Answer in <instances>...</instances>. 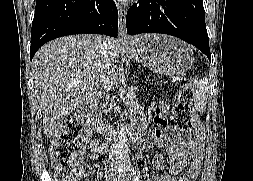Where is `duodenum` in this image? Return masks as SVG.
I'll use <instances>...</instances> for the list:
<instances>
[{
	"label": "duodenum",
	"mask_w": 253,
	"mask_h": 181,
	"mask_svg": "<svg viewBox=\"0 0 253 181\" xmlns=\"http://www.w3.org/2000/svg\"><path fill=\"white\" fill-rule=\"evenodd\" d=\"M96 100H97V96L92 95L89 98H87L85 101H83L81 105H79L78 107L79 114L89 121V123L92 126V129L95 132H102L105 134H111L113 136H116L119 133V130L103 129L101 123L99 122L97 116L95 115L94 104ZM126 132L130 133L131 135L136 134L134 131L130 129H126Z\"/></svg>",
	"instance_id": "410a0bca"
}]
</instances>
